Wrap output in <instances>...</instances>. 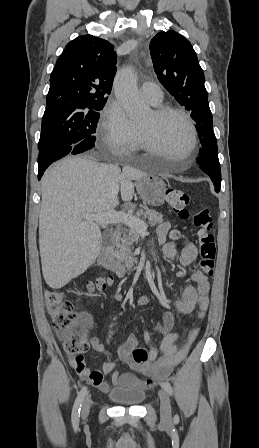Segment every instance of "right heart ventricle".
Returning a JSON list of instances; mask_svg holds the SVG:
<instances>
[{"label":"right heart ventricle","mask_w":259,"mask_h":448,"mask_svg":"<svg viewBox=\"0 0 259 448\" xmlns=\"http://www.w3.org/2000/svg\"><path fill=\"white\" fill-rule=\"evenodd\" d=\"M151 105H153V106H158V105H160V102H159V103H155V104H151ZM139 135H140V134H139ZM142 147H143V143H142V140H141V137H140V143H139V147H138L137 150L141 149Z\"/></svg>","instance_id":"e07e8e85"}]
</instances>
